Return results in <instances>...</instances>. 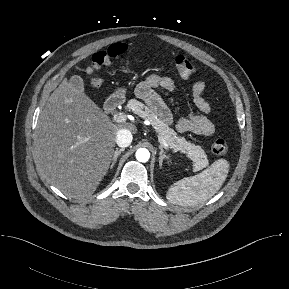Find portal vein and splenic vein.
Instances as JSON below:
<instances>
[{"mask_svg": "<svg viewBox=\"0 0 289 289\" xmlns=\"http://www.w3.org/2000/svg\"><path fill=\"white\" fill-rule=\"evenodd\" d=\"M113 119H114V121L117 122V123H123V122H126L127 116H126L124 113L119 112V113H116V114L114 115ZM158 139H159V143H160L163 147H165V148L168 147V145H167V143H166V141H165L164 138H162V137L159 136Z\"/></svg>", "mask_w": 289, "mask_h": 289, "instance_id": "portal-vein-and-splenic-vein-1", "label": "portal vein and splenic vein"}]
</instances>
